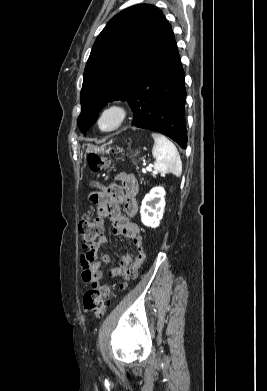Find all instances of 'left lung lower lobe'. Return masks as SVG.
Listing matches in <instances>:
<instances>
[{"mask_svg":"<svg viewBox=\"0 0 267 391\" xmlns=\"http://www.w3.org/2000/svg\"><path fill=\"white\" fill-rule=\"evenodd\" d=\"M184 71L175 39L141 77L127 101L132 125L160 132L186 148Z\"/></svg>","mask_w":267,"mask_h":391,"instance_id":"0a47b994","label":"left lung lower lobe"}]
</instances>
